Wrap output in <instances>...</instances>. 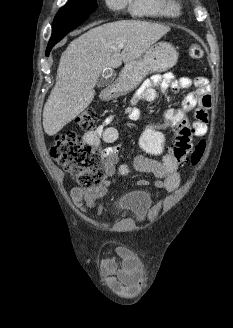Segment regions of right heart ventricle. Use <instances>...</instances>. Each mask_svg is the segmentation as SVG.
Returning a JSON list of instances; mask_svg holds the SVG:
<instances>
[{
    "label": "right heart ventricle",
    "instance_id": "right-heart-ventricle-1",
    "mask_svg": "<svg viewBox=\"0 0 233 328\" xmlns=\"http://www.w3.org/2000/svg\"><path fill=\"white\" fill-rule=\"evenodd\" d=\"M132 15L139 17H175L180 5L175 0H125Z\"/></svg>",
    "mask_w": 233,
    "mask_h": 328
}]
</instances>
